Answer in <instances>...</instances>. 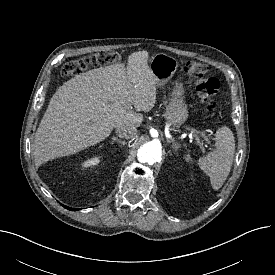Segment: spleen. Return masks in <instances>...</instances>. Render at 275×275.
<instances>
[{
	"mask_svg": "<svg viewBox=\"0 0 275 275\" xmlns=\"http://www.w3.org/2000/svg\"><path fill=\"white\" fill-rule=\"evenodd\" d=\"M216 148L198 160L200 169L210 177L213 189H219L228 177L235 153V140L232 131L224 126L215 134ZM192 162L190 155L185 156Z\"/></svg>",
	"mask_w": 275,
	"mask_h": 275,
	"instance_id": "spleen-1",
	"label": "spleen"
}]
</instances>
